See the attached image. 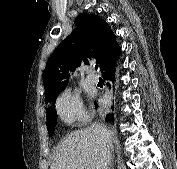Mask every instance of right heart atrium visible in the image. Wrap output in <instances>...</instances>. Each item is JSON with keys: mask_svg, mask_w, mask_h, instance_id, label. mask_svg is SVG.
Listing matches in <instances>:
<instances>
[{"mask_svg": "<svg viewBox=\"0 0 177 169\" xmlns=\"http://www.w3.org/2000/svg\"><path fill=\"white\" fill-rule=\"evenodd\" d=\"M56 111L60 119L67 124L83 123L88 119L79 95L69 89L58 97Z\"/></svg>", "mask_w": 177, "mask_h": 169, "instance_id": "d8ad5b80", "label": "right heart atrium"}]
</instances>
